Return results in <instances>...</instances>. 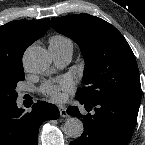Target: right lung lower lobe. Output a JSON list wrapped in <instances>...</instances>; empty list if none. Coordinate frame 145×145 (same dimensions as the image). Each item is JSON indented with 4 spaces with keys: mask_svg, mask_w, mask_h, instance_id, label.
I'll return each instance as SVG.
<instances>
[{
    "mask_svg": "<svg viewBox=\"0 0 145 145\" xmlns=\"http://www.w3.org/2000/svg\"><path fill=\"white\" fill-rule=\"evenodd\" d=\"M59 116L57 106L44 101L35 103L29 113L16 101L0 102V145H37L40 124Z\"/></svg>",
    "mask_w": 145,
    "mask_h": 145,
    "instance_id": "right-lung-lower-lobe-1",
    "label": "right lung lower lobe"
}]
</instances>
